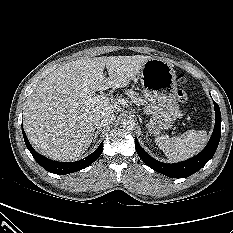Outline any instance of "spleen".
<instances>
[{"label": "spleen", "instance_id": "1", "mask_svg": "<svg viewBox=\"0 0 233 233\" xmlns=\"http://www.w3.org/2000/svg\"><path fill=\"white\" fill-rule=\"evenodd\" d=\"M207 140L208 135L205 130H189L172 138L157 136L155 143L169 160L183 161L198 153Z\"/></svg>", "mask_w": 233, "mask_h": 233}]
</instances>
